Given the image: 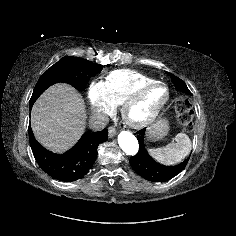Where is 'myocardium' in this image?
I'll list each match as a JSON object with an SVG mask.
<instances>
[{
    "instance_id": "f54148a6",
    "label": "myocardium",
    "mask_w": 236,
    "mask_h": 236,
    "mask_svg": "<svg viewBox=\"0 0 236 236\" xmlns=\"http://www.w3.org/2000/svg\"><path fill=\"white\" fill-rule=\"evenodd\" d=\"M156 87H162L165 90V95L159 101L150 113L141 119H136L131 116V110L144 98V96ZM170 98L169 87L161 81H153L137 88L121 105V114L124 122L133 129H143L151 125L159 116L163 107L167 104Z\"/></svg>"
}]
</instances>
